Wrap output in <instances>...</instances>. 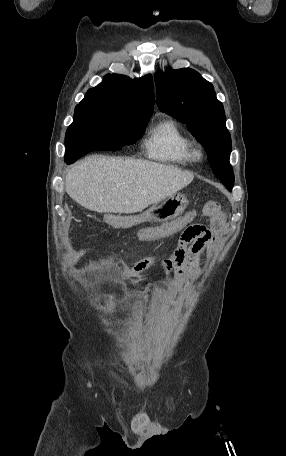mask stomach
Segmentation results:
<instances>
[{
  "label": "stomach",
  "mask_w": 286,
  "mask_h": 456,
  "mask_svg": "<svg viewBox=\"0 0 286 456\" xmlns=\"http://www.w3.org/2000/svg\"><path fill=\"white\" fill-rule=\"evenodd\" d=\"M187 205L188 199L183 194H173L153 204L141 217L149 222H166L182 214Z\"/></svg>",
  "instance_id": "0dacf381"
}]
</instances>
